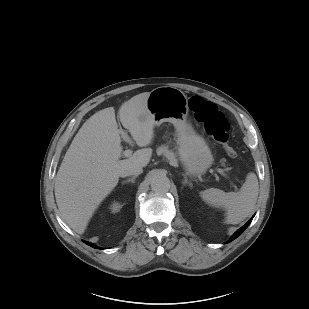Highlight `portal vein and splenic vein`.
Returning <instances> with one entry per match:
<instances>
[{
    "label": "portal vein and splenic vein",
    "mask_w": 309,
    "mask_h": 309,
    "mask_svg": "<svg viewBox=\"0 0 309 309\" xmlns=\"http://www.w3.org/2000/svg\"><path fill=\"white\" fill-rule=\"evenodd\" d=\"M122 137H123V139H124L126 142L132 143L131 140H130V137H129L126 133L122 132ZM131 154H132V151H131V150H126V151H124V156H126V157L131 156ZM215 170H216L219 174H221L223 177L228 178L227 175H226V173H225L222 169L216 168Z\"/></svg>",
    "instance_id": "portal-vein-and-splenic-vein-1"
}]
</instances>
